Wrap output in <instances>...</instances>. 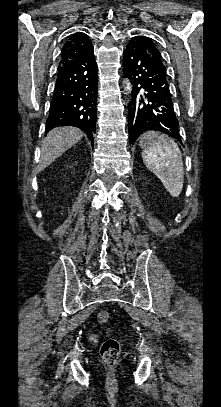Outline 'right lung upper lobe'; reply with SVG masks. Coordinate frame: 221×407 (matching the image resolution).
<instances>
[{"label":"right lung upper lobe","mask_w":221,"mask_h":407,"mask_svg":"<svg viewBox=\"0 0 221 407\" xmlns=\"http://www.w3.org/2000/svg\"><path fill=\"white\" fill-rule=\"evenodd\" d=\"M90 44L91 41L85 33L72 34L62 48L59 66L83 55Z\"/></svg>","instance_id":"1"}]
</instances>
